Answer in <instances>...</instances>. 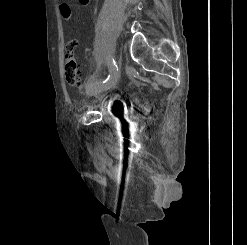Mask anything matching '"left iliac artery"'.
I'll return each mask as SVG.
<instances>
[{
    "label": "left iliac artery",
    "instance_id": "obj_1",
    "mask_svg": "<svg viewBox=\"0 0 247 245\" xmlns=\"http://www.w3.org/2000/svg\"><path fill=\"white\" fill-rule=\"evenodd\" d=\"M107 65H108V68H109V74L108 76L103 79L102 81H91V82H88L86 84V86H90L92 84H98V85H106L108 84V82L111 81V79L113 78V76L115 75V73L118 71V66L114 60V58L111 56V55H108L107 57Z\"/></svg>",
    "mask_w": 247,
    "mask_h": 245
}]
</instances>
